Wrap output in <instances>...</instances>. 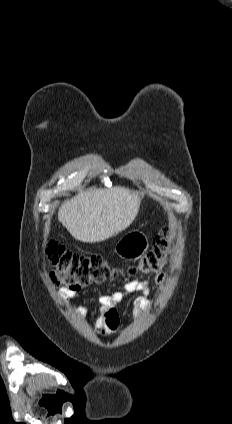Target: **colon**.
<instances>
[{"mask_svg": "<svg viewBox=\"0 0 232 424\" xmlns=\"http://www.w3.org/2000/svg\"><path fill=\"white\" fill-rule=\"evenodd\" d=\"M171 228L163 226L153 239V245L136 266L126 269L128 275L137 272L150 273L161 270L172 256ZM47 255L52 267V280L71 289H80L90 284L103 283L117 277L121 271L110 266L100 254H75L63 246L50 242Z\"/></svg>", "mask_w": 232, "mask_h": 424, "instance_id": "colon-1", "label": "colon"}]
</instances>
